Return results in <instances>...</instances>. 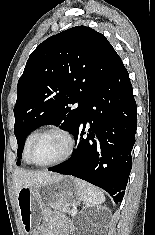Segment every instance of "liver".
<instances>
[{"label":"liver","instance_id":"1","mask_svg":"<svg viewBox=\"0 0 155 235\" xmlns=\"http://www.w3.org/2000/svg\"><path fill=\"white\" fill-rule=\"evenodd\" d=\"M61 176L46 171H27L17 168L13 174V184L17 196L21 187L40 186L57 180Z\"/></svg>","mask_w":155,"mask_h":235}]
</instances>
